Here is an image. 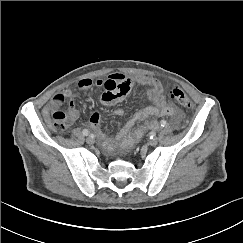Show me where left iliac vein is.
I'll return each mask as SVG.
<instances>
[{"instance_id":"1","label":"left iliac vein","mask_w":243,"mask_h":243,"mask_svg":"<svg viewBox=\"0 0 243 243\" xmlns=\"http://www.w3.org/2000/svg\"><path fill=\"white\" fill-rule=\"evenodd\" d=\"M158 144V139L155 137L153 139L148 140L149 146H156Z\"/></svg>"}]
</instances>
